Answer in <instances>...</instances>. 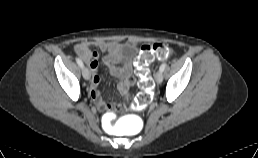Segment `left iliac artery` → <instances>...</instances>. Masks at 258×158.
Masks as SVG:
<instances>
[{"label":"left iliac artery","instance_id":"44dca946","mask_svg":"<svg viewBox=\"0 0 258 158\" xmlns=\"http://www.w3.org/2000/svg\"><path fill=\"white\" fill-rule=\"evenodd\" d=\"M166 66H167L166 62L162 63L159 70L163 72L165 70Z\"/></svg>","mask_w":258,"mask_h":158}]
</instances>
